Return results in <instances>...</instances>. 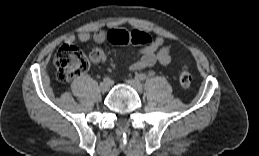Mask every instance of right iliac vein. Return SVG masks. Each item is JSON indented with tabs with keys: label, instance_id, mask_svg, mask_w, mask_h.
I'll list each match as a JSON object with an SVG mask.
<instances>
[{
	"label": "right iliac vein",
	"instance_id": "right-iliac-vein-1",
	"mask_svg": "<svg viewBox=\"0 0 259 156\" xmlns=\"http://www.w3.org/2000/svg\"><path fill=\"white\" fill-rule=\"evenodd\" d=\"M110 86H111V82L104 80L103 82L100 83L99 88H100V90H101L102 92H106V91L109 90Z\"/></svg>",
	"mask_w": 259,
	"mask_h": 156
}]
</instances>
